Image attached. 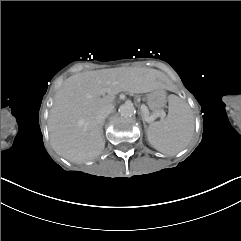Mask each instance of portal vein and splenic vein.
Listing matches in <instances>:
<instances>
[{
    "mask_svg": "<svg viewBox=\"0 0 241 241\" xmlns=\"http://www.w3.org/2000/svg\"><path fill=\"white\" fill-rule=\"evenodd\" d=\"M141 113L146 118L145 121H154L156 118L161 117V120H166V115L164 112V108H159V111H155V113H147L146 106H141Z\"/></svg>",
    "mask_w": 241,
    "mask_h": 241,
    "instance_id": "1",
    "label": "portal vein and splenic vein"
}]
</instances>
